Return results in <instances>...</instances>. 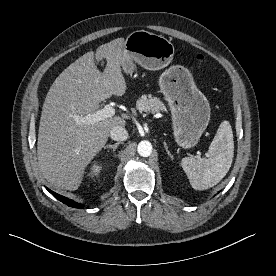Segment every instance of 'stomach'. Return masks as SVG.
I'll return each instance as SVG.
<instances>
[{
	"instance_id": "1",
	"label": "stomach",
	"mask_w": 276,
	"mask_h": 276,
	"mask_svg": "<svg viewBox=\"0 0 276 276\" xmlns=\"http://www.w3.org/2000/svg\"><path fill=\"white\" fill-rule=\"evenodd\" d=\"M173 44L161 35L145 30L132 32L125 40L121 67L132 75L136 64L148 70H160L173 60ZM159 87L172 115L175 141L183 148L194 147L210 120V106L196 87L190 71L172 66L159 78Z\"/></svg>"
}]
</instances>
